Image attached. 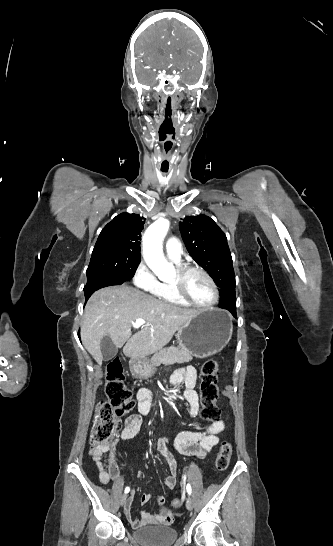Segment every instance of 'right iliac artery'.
Instances as JSON below:
<instances>
[{"instance_id": "82829eb1", "label": "right iliac artery", "mask_w": 333, "mask_h": 546, "mask_svg": "<svg viewBox=\"0 0 333 546\" xmlns=\"http://www.w3.org/2000/svg\"><path fill=\"white\" fill-rule=\"evenodd\" d=\"M129 491H130V488L126 487L125 490H124V493L127 494Z\"/></svg>"}]
</instances>
